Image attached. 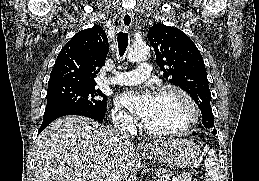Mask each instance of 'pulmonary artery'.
Returning <instances> with one entry per match:
<instances>
[{
	"label": "pulmonary artery",
	"instance_id": "obj_1",
	"mask_svg": "<svg viewBox=\"0 0 259 181\" xmlns=\"http://www.w3.org/2000/svg\"><path fill=\"white\" fill-rule=\"evenodd\" d=\"M151 65L149 62H142L137 71L117 72L113 77L106 79L109 84L115 85H136L142 83L151 75Z\"/></svg>",
	"mask_w": 259,
	"mask_h": 181
}]
</instances>
